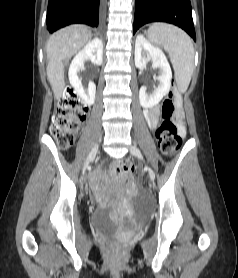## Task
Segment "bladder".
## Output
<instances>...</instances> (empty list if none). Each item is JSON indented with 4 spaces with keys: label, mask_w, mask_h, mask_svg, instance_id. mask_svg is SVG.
<instances>
[{
    "label": "bladder",
    "mask_w": 238,
    "mask_h": 278,
    "mask_svg": "<svg viewBox=\"0 0 238 278\" xmlns=\"http://www.w3.org/2000/svg\"><path fill=\"white\" fill-rule=\"evenodd\" d=\"M92 229L100 234H109L116 230L117 224L111 220L106 210L94 212L90 219Z\"/></svg>",
    "instance_id": "bladder-1"
}]
</instances>
